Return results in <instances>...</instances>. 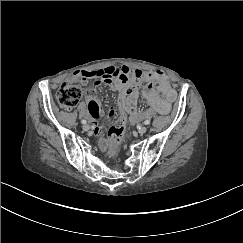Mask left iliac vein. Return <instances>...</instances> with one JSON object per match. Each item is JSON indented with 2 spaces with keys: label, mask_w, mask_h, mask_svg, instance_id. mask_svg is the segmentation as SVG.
<instances>
[{
  "label": "left iliac vein",
  "mask_w": 243,
  "mask_h": 243,
  "mask_svg": "<svg viewBox=\"0 0 243 243\" xmlns=\"http://www.w3.org/2000/svg\"><path fill=\"white\" fill-rule=\"evenodd\" d=\"M146 131H147V127L146 126H141L138 129V133H140V134H144V133H146Z\"/></svg>",
  "instance_id": "4c4485c4"
}]
</instances>
